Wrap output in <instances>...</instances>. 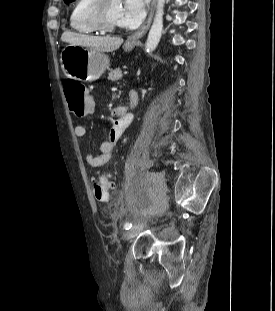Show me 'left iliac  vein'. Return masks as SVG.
Returning a JSON list of instances; mask_svg holds the SVG:
<instances>
[{"label":"left iliac vein","instance_id":"1","mask_svg":"<svg viewBox=\"0 0 275 311\" xmlns=\"http://www.w3.org/2000/svg\"><path fill=\"white\" fill-rule=\"evenodd\" d=\"M144 226H145V223L140 222L136 224L135 226H133L132 228L128 229L123 235L124 239L129 240L137 236L143 230Z\"/></svg>","mask_w":275,"mask_h":311}]
</instances>
